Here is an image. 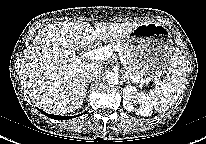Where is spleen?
I'll list each match as a JSON object with an SVG mask.
<instances>
[{
    "mask_svg": "<svg viewBox=\"0 0 206 144\" xmlns=\"http://www.w3.org/2000/svg\"><path fill=\"white\" fill-rule=\"evenodd\" d=\"M186 68L179 50L174 48V53L168 67L167 78L149 92V100L158 112L168 110L179 98L183 86Z\"/></svg>",
    "mask_w": 206,
    "mask_h": 144,
    "instance_id": "spleen-1",
    "label": "spleen"
}]
</instances>
